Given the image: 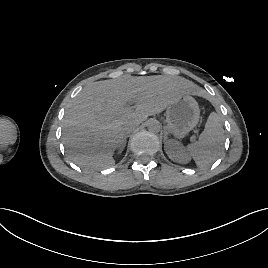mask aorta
Here are the masks:
<instances>
[{
    "mask_svg": "<svg viewBox=\"0 0 268 268\" xmlns=\"http://www.w3.org/2000/svg\"><path fill=\"white\" fill-rule=\"evenodd\" d=\"M147 128L152 133H158L161 130V123L156 119H150L147 122Z\"/></svg>",
    "mask_w": 268,
    "mask_h": 268,
    "instance_id": "obj_1",
    "label": "aorta"
}]
</instances>
